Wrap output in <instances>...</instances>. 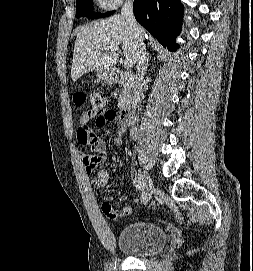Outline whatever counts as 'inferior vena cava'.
Masks as SVG:
<instances>
[{
  "label": "inferior vena cava",
  "instance_id": "1",
  "mask_svg": "<svg viewBox=\"0 0 253 271\" xmlns=\"http://www.w3.org/2000/svg\"><path fill=\"white\" fill-rule=\"evenodd\" d=\"M121 16L128 22L139 44L137 56H136L137 71H136L135 89H134L135 102L132 105L133 122L131 124V129H130V135L133 139H135L138 133L136 124L139 121V102L141 100L142 91L145 86L144 70H145V61H146V51H145V44L143 42L145 32H144V29L135 20L134 12H133V0H127L124 3L121 9Z\"/></svg>",
  "mask_w": 253,
  "mask_h": 271
}]
</instances>
